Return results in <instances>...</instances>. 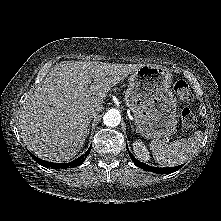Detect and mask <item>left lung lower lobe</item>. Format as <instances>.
<instances>
[{
	"instance_id": "left-lung-lower-lobe-1",
	"label": "left lung lower lobe",
	"mask_w": 221,
	"mask_h": 221,
	"mask_svg": "<svg viewBox=\"0 0 221 221\" xmlns=\"http://www.w3.org/2000/svg\"><path fill=\"white\" fill-rule=\"evenodd\" d=\"M128 152H129V150H128ZM130 156H131L133 162L135 163V165L138 166L139 168H141L143 170H146V171H151V172L159 173V174L173 173V172L179 170L183 166V165H179V166L170 167V168H156V167H152V166L146 165L144 163H141L140 161L135 159L134 156L131 153H130Z\"/></svg>"
}]
</instances>
